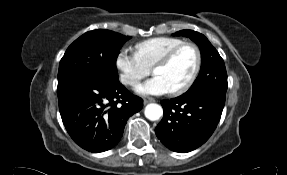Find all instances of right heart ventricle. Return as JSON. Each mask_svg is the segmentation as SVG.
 Wrapping results in <instances>:
<instances>
[{"label":"right heart ventricle","mask_w":287,"mask_h":175,"mask_svg":"<svg viewBox=\"0 0 287 175\" xmlns=\"http://www.w3.org/2000/svg\"><path fill=\"white\" fill-rule=\"evenodd\" d=\"M183 42L181 38L162 36L139 42L135 48L141 60L151 68L166 52Z\"/></svg>","instance_id":"right-heart-ventricle-1"}]
</instances>
